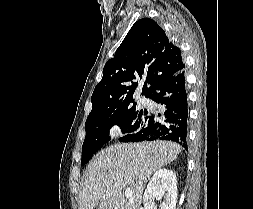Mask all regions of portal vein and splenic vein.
<instances>
[{
	"label": "portal vein and splenic vein",
	"instance_id": "obj_1",
	"mask_svg": "<svg viewBox=\"0 0 253 209\" xmlns=\"http://www.w3.org/2000/svg\"><path fill=\"white\" fill-rule=\"evenodd\" d=\"M132 195H133L132 189L127 188V189L125 190V196H126V198H131Z\"/></svg>",
	"mask_w": 253,
	"mask_h": 209
}]
</instances>
